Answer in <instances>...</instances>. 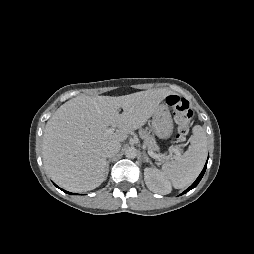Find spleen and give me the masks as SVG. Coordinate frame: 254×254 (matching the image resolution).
Here are the masks:
<instances>
[{
    "label": "spleen",
    "instance_id": "1",
    "mask_svg": "<svg viewBox=\"0 0 254 254\" xmlns=\"http://www.w3.org/2000/svg\"><path fill=\"white\" fill-rule=\"evenodd\" d=\"M207 157V136L200 125H195L190 137L188 150L173 161L162 166V173L174 188L182 189L190 185L200 174Z\"/></svg>",
    "mask_w": 254,
    "mask_h": 254
}]
</instances>
